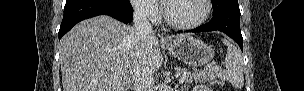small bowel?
I'll return each instance as SVG.
<instances>
[{"instance_id":"obj_1","label":"small bowel","mask_w":304,"mask_h":91,"mask_svg":"<svg viewBox=\"0 0 304 91\" xmlns=\"http://www.w3.org/2000/svg\"><path fill=\"white\" fill-rule=\"evenodd\" d=\"M196 90H197V91H203V90H206V89H204V88H202V87H199V88H197Z\"/></svg>"}]
</instances>
